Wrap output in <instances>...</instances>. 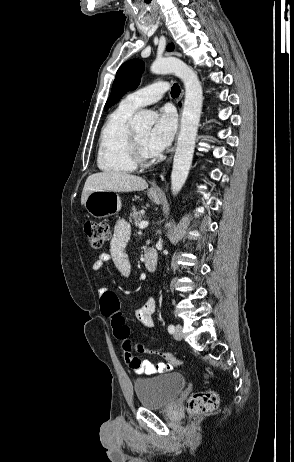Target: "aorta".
<instances>
[{
  "label": "aorta",
  "mask_w": 294,
  "mask_h": 462,
  "mask_svg": "<svg viewBox=\"0 0 294 462\" xmlns=\"http://www.w3.org/2000/svg\"><path fill=\"white\" fill-rule=\"evenodd\" d=\"M154 74L173 73L179 77L185 86V101L183 106L180 133L171 173V190L176 195L183 187L192 164L195 140L203 104V91L197 74L183 61L174 58H159L151 65ZM131 125L136 130H149L153 125L146 111L138 112Z\"/></svg>",
  "instance_id": "762f6f07"
}]
</instances>
